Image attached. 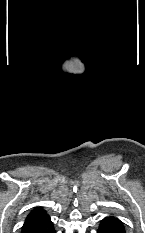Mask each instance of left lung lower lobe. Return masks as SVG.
I'll return each instance as SVG.
<instances>
[{
    "label": "left lung lower lobe",
    "instance_id": "obj_1",
    "mask_svg": "<svg viewBox=\"0 0 145 233\" xmlns=\"http://www.w3.org/2000/svg\"><path fill=\"white\" fill-rule=\"evenodd\" d=\"M97 233H125V230L120 229L111 222L103 219L99 224Z\"/></svg>",
    "mask_w": 145,
    "mask_h": 233
}]
</instances>
